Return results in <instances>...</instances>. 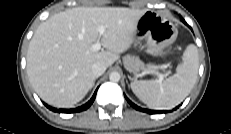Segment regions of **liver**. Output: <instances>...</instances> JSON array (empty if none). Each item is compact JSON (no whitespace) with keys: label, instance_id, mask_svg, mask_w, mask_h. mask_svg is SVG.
<instances>
[{"label":"liver","instance_id":"6515ba94","mask_svg":"<svg viewBox=\"0 0 231 134\" xmlns=\"http://www.w3.org/2000/svg\"><path fill=\"white\" fill-rule=\"evenodd\" d=\"M146 10L124 7H76L41 23L27 51L29 81L46 103L71 107L92 88L94 63L111 66L128 50L139 18ZM105 32L100 35L98 27ZM100 42L106 49L94 51Z\"/></svg>","mask_w":231,"mask_h":134}]
</instances>
